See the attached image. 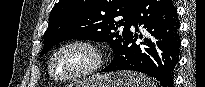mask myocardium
Masks as SVG:
<instances>
[{
  "label": "myocardium",
  "instance_id": "obj_1",
  "mask_svg": "<svg viewBox=\"0 0 205 87\" xmlns=\"http://www.w3.org/2000/svg\"><path fill=\"white\" fill-rule=\"evenodd\" d=\"M70 47H80L87 50L92 58L91 63L81 71L64 76L57 77L53 71V64L60 52ZM103 64V55L100 48L93 42L86 39H73L59 45L51 54L48 62V71L50 77L57 82H72L80 79H84L94 75L98 72Z\"/></svg>",
  "mask_w": 205,
  "mask_h": 87
}]
</instances>
